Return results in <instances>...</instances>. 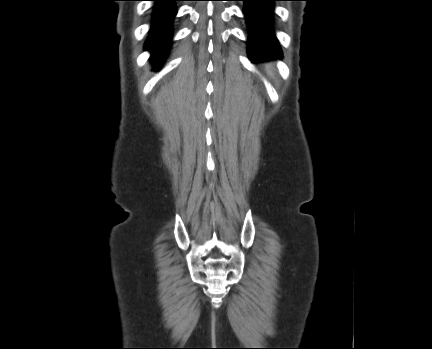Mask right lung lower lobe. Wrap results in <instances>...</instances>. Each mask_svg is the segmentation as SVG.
<instances>
[{
  "label": "right lung lower lobe",
  "instance_id": "obj_1",
  "mask_svg": "<svg viewBox=\"0 0 432 349\" xmlns=\"http://www.w3.org/2000/svg\"><path fill=\"white\" fill-rule=\"evenodd\" d=\"M152 1H155L153 23L146 46L152 51V61L158 63L162 61L166 50L170 46L171 21L177 13L175 1L178 0Z\"/></svg>",
  "mask_w": 432,
  "mask_h": 349
}]
</instances>
